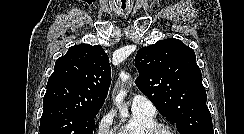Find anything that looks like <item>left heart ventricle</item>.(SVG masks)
I'll use <instances>...</instances> for the list:
<instances>
[{"mask_svg":"<svg viewBox=\"0 0 244 134\" xmlns=\"http://www.w3.org/2000/svg\"><path fill=\"white\" fill-rule=\"evenodd\" d=\"M158 134H170V133L168 131H166V130H161V131L158 132Z\"/></svg>","mask_w":244,"mask_h":134,"instance_id":"obj_1","label":"left heart ventricle"}]
</instances>
